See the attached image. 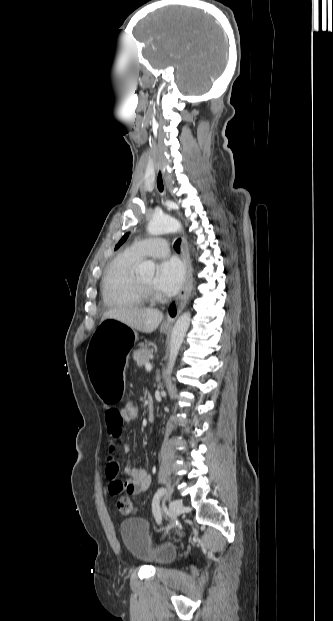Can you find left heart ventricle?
<instances>
[{
  "instance_id": "left-heart-ventricle-1",
  "label": "left heart ventricle",
  "mask_w": 333,
  "mask_h": 621,
  "mask_svg": "<svg viewBox=\"0 0 333 621\" xmlns=\"http://www.w3.org/2000/svg\"><path fill=\"white\" fill-rule=\"evenodd\" d=\"M138 280L141 283H143L144 285L149 286L152 289L157 291V289L154 286V275L153 274H149V275H145V276L139 277Z\"/></svg>"
}]
</instances>
